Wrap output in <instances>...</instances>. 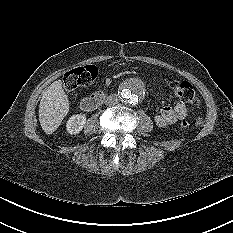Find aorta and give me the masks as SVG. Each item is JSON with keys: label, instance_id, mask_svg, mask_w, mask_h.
I'll return each instance as SVG.
<instances>
[{"label": "aorta", "instance_id": "762f6f07", "mask_svg": "<svg viewBox=\"0 0 233 233\" xmlns=\"http://www.w3.org/2000/svg\"><path fill=\"white\" fill-rule=\"evenodd\" d=\"M144 96V84L139 79H130L120 91V97L124 104L136 105Z\"/></svg>", "mask_w": 233, "mask_h": 233}]
</instances>
